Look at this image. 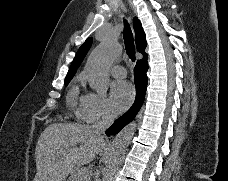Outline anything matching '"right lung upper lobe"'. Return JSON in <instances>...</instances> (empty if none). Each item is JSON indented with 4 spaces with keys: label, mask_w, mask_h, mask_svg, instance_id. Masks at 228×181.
<instances>
[{
    "label": "right lung upper lobe",
    "mask_w": 228,
    "mask_h": 181,
    "mask_svg": "<svg viewBox=\"0 0 228 181\" xmlns=\"http://www.w3.org/2000/svg\"><path fill=\"white\" fill-rule=\"evenodd\" d=\"M133 21H134L137 51L142 53L143 56H145V55H147L145 53V48L147 45L145 33L143 31V28H142L140 21L137 18H134ZM91 45H92V38L90 37L79 48L75 58L73 59V61L71 63V66H70V69L67 73L65 81L71 80L73 78L78 67L80 66V64L83 61L84 57L86 56L88 50L90 49Z\"/></svg>",
    "instance_id": "right-lung-upper-lobe-1"
}]
</instances>
